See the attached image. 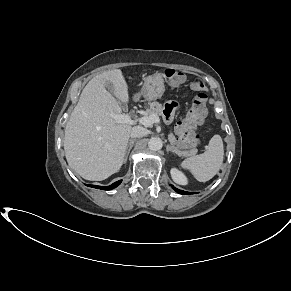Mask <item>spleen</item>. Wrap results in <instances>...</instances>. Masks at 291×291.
<instances>
[{"instance_id": "3e777b00", "label": "spleen", "mask_w": 291, "mask_h": 291, "mask_svg": "<svg viewBox=\"0 0 291 291\" xmlns=\"http://www.w3.org/2000/svg\"><path fill=\"white\" fill-rule=\"evenodd\" d=\"M224 158L223 141L220 135H214L203 154L185 159L181 166L188 169L200 182L212 179L219 171Z\"/></svg>"}]
</instances>
